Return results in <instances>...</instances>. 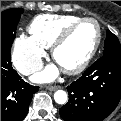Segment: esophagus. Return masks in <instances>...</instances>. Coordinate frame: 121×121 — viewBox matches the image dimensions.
Masks as SVG:
<instances>
[{
  "label": "esophagus",
  "mask_w": 121,
  "mask_h": 121,
  "mask_svg": "<svg viewBox=\"0 0 121 121\" xmlns=\"http://www.w3.org/2000/svg\"><path fill=\"white\" fill-rule=\"evenodd\" d=\"M59 88H60L59 86H47V89L50 90V91H55Z\"/></svg>",
  "instance_id": "34e87169"
}]
</instances>
